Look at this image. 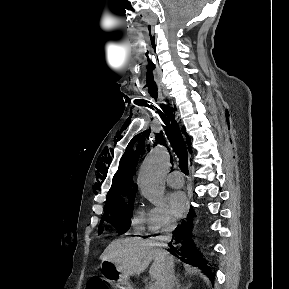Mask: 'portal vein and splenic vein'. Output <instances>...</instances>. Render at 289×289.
I'll return each mask as SVG.
<instances>
[{
  "label": "portal vein and splenic vein",
  "mask_w": 289,
  "mask_h": 289,
  "mask_svg": "<svg viewBox=\"0 0 289 289\" xmlns=\"http://www.w3.org/2000/svg\"><path fill=\"white\" fill-rule=\"evenodd\" d=\"M149 289H158V286H157V284L155 283V284H152V285L149 287Z\"/></svg>",
  "instance_id": "1"
}]
</instances>
